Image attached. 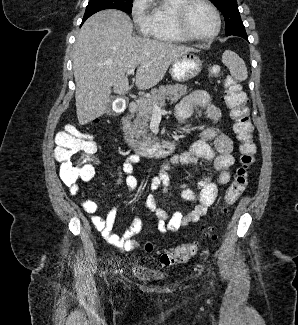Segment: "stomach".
<instances>
[{"instance_id": "1", "label": "stomach", "mask_w": 298, "mask_h": 325, "mask_svg": "<svg viewBox=\"0 0 298 325\" xmlns=\"http://www.w3.org/2000/svg\"><path fill=\"white\" fill-rule=\"evenodd\" d=\"M202 68L203 60H201L200 56L196 52H186V54H181L179 58L172 62L169 74L173 80L185 82V80H190V78L200 74Z\"/></svg>"}]
</instances>
